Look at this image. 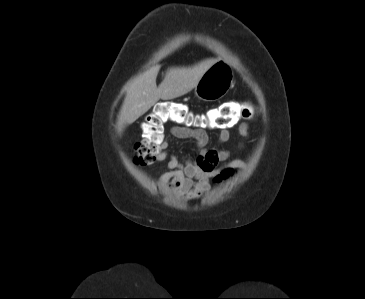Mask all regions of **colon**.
Here are the masks:
<instances>
[{
    "mask_svg": "<svg viewBox=\"0 0 365 299\" xmlns=\"http://www.w3.org/2000/svg\"><path fill=\"white\" fill-rule=\"evenodd\" d=\"M251 114L246 104H229L206 113H195L183 103L165 101L156 103L142 123L143 140L135 145L133 163L148 165L157 160L165 142V125L194 126L211 129L229 127L234 120Z\"/></svg>",
    "mask_w": 365,
    "mask_h": 299,
    "instance_id": "obj_1",
    "label": "colon"
}]
</instances>
